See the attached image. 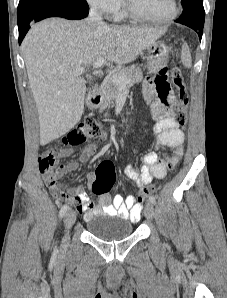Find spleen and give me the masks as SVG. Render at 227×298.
<instances>
[{
  "instance_id": "3e777b00",
  "label": "spleen",
  "mask_w": 227,
  "mask_h": 298,
  "mask_svg": "<svg viewBox=\"0 0 227 298\" xmlns=\"http://www.w3.org/2000/svg\"><path fill=\"white\" fill-rule=\"evenodd\" d=\"M181 61L183 65L187 68H191L192 66V59H191V53L189 50V47L187 43H184L182 45V50H181Z\"/></svg>"
}]
</instances>
